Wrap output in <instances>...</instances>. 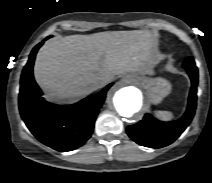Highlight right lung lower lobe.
I'll use <instances>...</instances> for the list:
<instances>
[{"mask_svg": "<svg viewBox=\"0 0 212 183\" xmlns=\"http://www.w3.org/2000/svg\"><path fill=\"white\" fill-rule=\"evenodd\" d=\"M43 43L34 47L21 75L20 114L40 142L57 151H71L90 138L99 109L112 84L73 105L59 106L46 102L33 78L35 55Z\"/></svg>", "mask_w": 212, "mask_h": 183, "instance_id": "98d812e1", "label": "right lung lower lobe"}]
</instances>
